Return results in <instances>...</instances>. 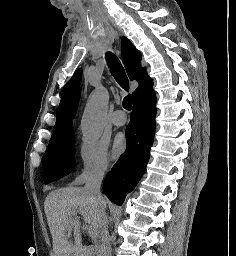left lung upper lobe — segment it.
<instances>
[{"instance_id":"left-lung-upper-lobe-1","label":"left lung upper lobe","mask_w":236,"mask_h":256,"mask_svg":"<svg viewBox=\"0 0 236 256\" xmlns=\"http://www.w3.org/2000/svg\"><path fill=\"white\" fill-rule=\"evenodd\" d=\"M78 100H79V98L76 101V106H75L74 114L76 113V109H77V105H78Z\"/></svg>"}]
</instances>
